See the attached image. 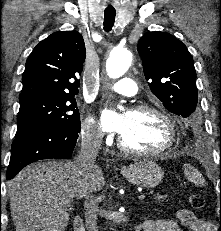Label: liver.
I'll return each instance as SVG.
<instances>
[{"instance_id": "liver-1", "label": "liver", "mask_w": 221, "mask_h": 231, "mask_svg": "<svg viewBox=\"0 0 221 231\" xmlns=\"http://www.w3.org/2000/svg\"><path fill=\"white\" fill-rule=\"evenodd\" d=\"M104 184L103 172L95 164L88 170L75 161L37 162L25 167L8 183L16 231H64L73 200L100 191Z\"/></svg>"}]
</instances>
